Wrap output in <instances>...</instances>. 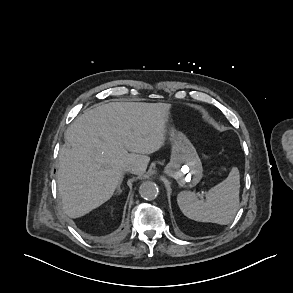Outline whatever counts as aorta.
I'll list each match as a JSON object with an SVG mask.
<instances>
[{
  "instance_id": "obj_1",
  "label": "aorta",
  "mask_w": 293,
  "mask_h": 293,
  "mask_svg": "<svg viewBox=\"0 0 293 293\" xmlns=\"http://www.w3.org/2000/svg\"><path fill=\"white\" fill-rule=\"evenodd\" d=\"M158 187L152 181H145L139 187V194L146 200H153L158 195Z\"/></svg>"
}]
</instances>
